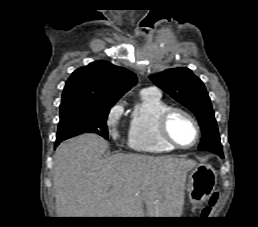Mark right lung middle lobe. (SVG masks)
Masks as SVG:
<instances>
[{"instance_id": "obj_1", "label": "right lung middle lobe", "mask_w": 258, "mask_h": 227, "mask_svg": "<svg viewBox=\"0 0 258 227\" xmlns=\"http://www.w3.org/2000/svg\"><path fill=\"white\" fill-rule=\"evenodd\" d=\"M112 106L77 99L62 100L56 140L63 141L82 133H96L107 139L106 120Z\"/></svg>"}]
</instances>
